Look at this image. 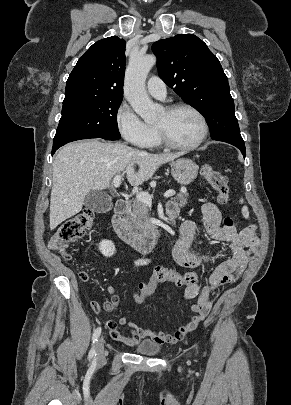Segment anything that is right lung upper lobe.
Segmentation results:
<instances>
[{"label": "right lung upper lobe", "instance_id": "right-lung-upper-lobe-1", "mask_svg": "<svg viewBox=\"0 0 291 405\" xmlns=\"http://www.w3.org/2000/svg\"><path fill=\"white\" fill-rule=\"evenodd\" d=\"M125 46V40L117 36L94 43L69 75L63 103L123 98Z\"/></svg>", "mask_w": 291, "mask_h": 405}]
</instances>
